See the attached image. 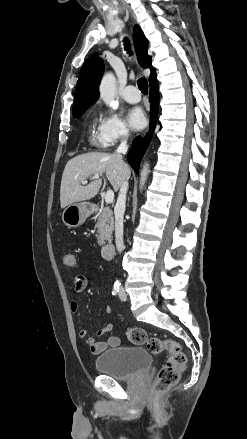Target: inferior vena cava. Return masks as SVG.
I'll return each mask as SVG.
<instances>
[{"label": "inferior vena cava", "mask_w": 247, "mask_h": 439, "mask_svg": "<svg viewBox=\"0 0 247 439\" xmlns=\"http://www.w3.org/2000/svg\"><path fill=\"white\" fill-rule=\"evenodd\" d=\"M128 150L127 141L123 140L119 147L117 148V151L115 152V155L118 157L121 163L123 162L122 154H125ZM128 190V181L124 180L119 191V195L117 198V202L114 208V215H115V244L116 249L120 253L124 249V242H123V216L125 212V204H126V194Z\"/></svg>", "instance_id": "1"}]
</instances>
